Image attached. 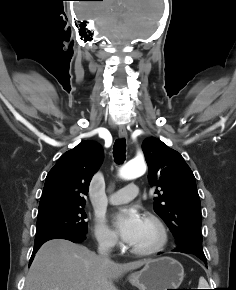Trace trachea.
<instances>
[{
  "label": "trachea",
  "instance_id": "trachea-1",
  "mask_svg": "<svg viewBox=\"0 0 236 290\" xmlns=\"http://www.w3.org/2000/svg\"><path fill=\"white\" fill-rule=\"evenodd\" d=\"M113 157L116 164H122L126 158V141L118 139L113 146Z\"/></svg>",
  "mask_w": 236,
  "mask_h": 290
}]
</instances>
